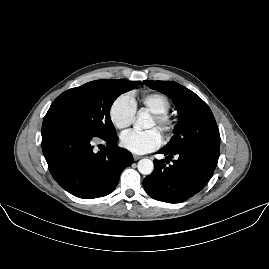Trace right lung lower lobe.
<instances>
[{"mask_svg":"<svg viewBox=\"0 0 269 269\" xmlns=\"http://www.w3.org/2000/svg\"><path fill=\"white\" fill-rule=\"evenodd\" d=\"M106 142L95 152L93 138ZM118 137H98L72 121L46 114L42 125V150L51 175L66 191L83 199L103 197L117 186L122 170L133 156L116 144Z\"/></svg>","mask_w":269,"mask_h":269,"instance_id":"98d812e1","label":"right lung lower lobe"}]
</instances>
